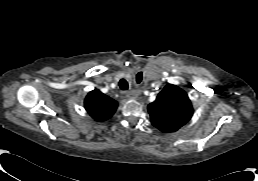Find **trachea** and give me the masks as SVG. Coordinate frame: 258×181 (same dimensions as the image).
Segmentation results:
<instances>
[{
  "mask_svg": "<svg viewBox=\"0 0 258 181\" xmlns=\"http://www.w3.org/2000/svg\"><path fill=\"white\" fill-rule=\"evenodd\" d=\"M119 87L122 90H127L128 89V82L125 79H121L119 81Z\"/></svg>",
  "mask_w": 258,
  "mask_h": 181,
  "instance_id": "trachea-1",
  "label": "trachea"
}]
</instances>
